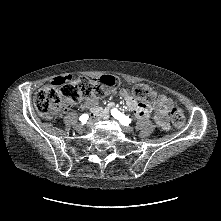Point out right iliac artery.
<instances>
[{
    "label": "right iliac artery",
    "instance_id": "obj_1",
    "mask_svg": "<svg viewBox=\"0 0 221 221\" xmlns=\"http://www.w3.org/2000/svg\"><path fill=\"white\" fill-rule=\"evenodd\" d=\"M89 116L87 114H83L79 117V120L82 122V123H85L87 120H88Z\"/></svg>",
    "mask_w": 221,
    "mask_h": 221
}]
</instances>
